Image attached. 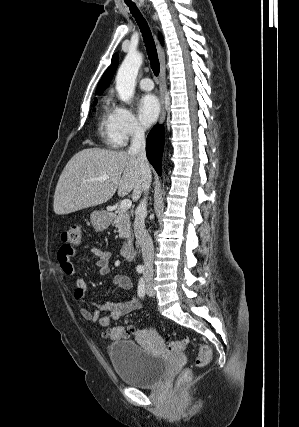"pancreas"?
<instances>
[{"instance_id":"cf45deb5","label":"pancreas","mask_w":299,"mask_h":427,"mask_svg":"<svg viewBox=\"0 0 299 427\" xmlns=\"http://www.w3.org/2000/svg\"><path fill=\"white\" fill-rule=\"evenodd\" d=\"M117 216L113 222V226L118 228V233L120 238H126L128 241H132L133 235L131 232V222L129 213L118 207Z\"/></svg>"}]
</instances>
